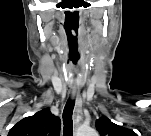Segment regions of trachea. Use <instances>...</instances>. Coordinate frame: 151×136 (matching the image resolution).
I'll return each mask as SVG.
<instances>
[{"instance_id": "trachea-1", "label": "trachea", "mask_w": 151, "mask_h": 136, "mask_svg": "<svg viewBox=\"0 0 151 136\" xmlns=\"http://www.w3.org/2000/svg\"><path fill=\"white\" fill-rule=\"evenodd\" d=\"M74 105L75 101L73 99H69L63 110L64 136H71L73 130L72 114Z\"/></svg>"}]
</instances>
